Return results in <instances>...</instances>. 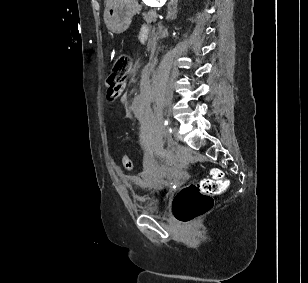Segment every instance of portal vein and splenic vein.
<instances>
[{
	"label": "portal vein and splenic vein",
	"instance_id": "18ae733b",
	"mask_svg": "<svg viewBox=\"0 0 308 283\" xmlns=\"http://www.w3.org/2000/svg\"><path fill=\"white\" fill-rule=\"evenodd\" d=\"M154 14H155V16L157 17V15H158L157 12H154Z\"/></svg>",
	"mask_w": 308,
	"mask_h": 283
}]
</instances>
